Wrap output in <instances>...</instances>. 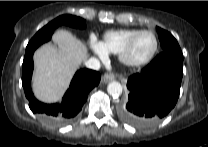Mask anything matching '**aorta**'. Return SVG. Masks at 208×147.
<instances>
[{
  "mask_svg": "<svg viewBox=\"0 0 208 147\" xmlns=\"http://www.w3.org/2000/svg\"><path fill=\"white\" fill-rule=\"evenodd\" d=\"M122 91H123L122 85L117 81L110 82L107 86L108 94L113 97H118L119 95L122 94Z\"/></svg>",
  "mask_w": 208,
  "mask_h": 147,
  "instance_id": "762f6f07",
  "label": "aorta"
}]
</instances>
